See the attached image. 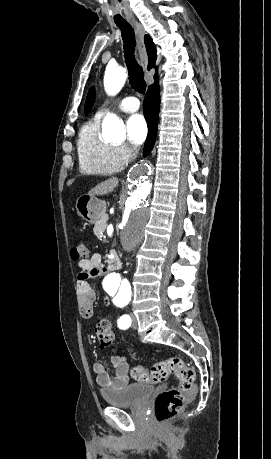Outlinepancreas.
I'll list each match as a JSON object with an SVG mask.
<instances>
[{"label":"pancreas","mask_w":271,"mask_h":459,"mask_svg":"<svg viewBox=\"0 0 271 459\" xmlns=\"http://www.w3.org/2000/svg\"><path fill=\"white\" fill-rule=\"evenodd\" d=\"M94 231H96V236L99 239H102L105 236V233L103 232L101 228H99V226H96V228H94Z\"/></svg>","instance_id":"pancreas-1"}]
</instances>
